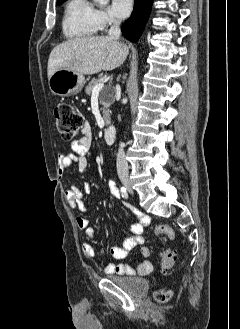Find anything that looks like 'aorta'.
I'll return each instance as SVG.
<instances>
[{"instance_id":"1","label":"aorta","mask_w":240,"mask_h":329,"mask_svg":"<svg viewBox=\"0 0 240 329\" xmlns=\"http://www.w3.org/2000/svg\"><path fill=\"white\" fill-rule=\"evenodd\" d=\"M95 2H98L101 5H107L109 0H94Z\"/></svg>"}]
</instances>
